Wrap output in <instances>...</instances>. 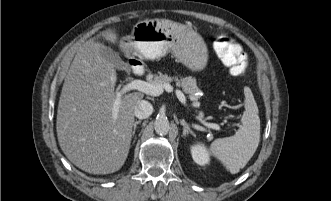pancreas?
<instances>
[{"label":"pancreas","mask_w":331,"mask_h":201,"mask_svg":"<svg viewBox=\"0 0 331 201\" xmlns=\"http://www.w3.org/2000/svg\"><path fill=\"white\" fill-rule=\"evenodd\" d=\"M175 81L178 86H181L183 91L190 95L191 97L195 96V93L199 92V88L197 86L196 80L191 76L188 77H171L167 74L160 73L159 75H155L154 78L150 81L151 84H166L172 81ZM197 99V97H195ZM204 115L202 112L199 113V118H202Z\"/></svg>","instance_id":"pancreas-1"}]
</instances>
